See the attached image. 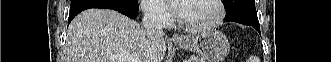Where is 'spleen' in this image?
<instances>
[{"mask_svg": "<svg viewBox=\"0 0 331 62\" xmlns=\"http://www.w3.org/2000/svg\"><path fill=\"white\" fill-rule=\"evenodd\" d=\"M255 60H256L255 58L254 59L250 58L248 62H255Z\"/></svg>", "mask_w": 331, "mask_h": 62, "instance_id": "1", "label": "spleen"}]
</instances>
